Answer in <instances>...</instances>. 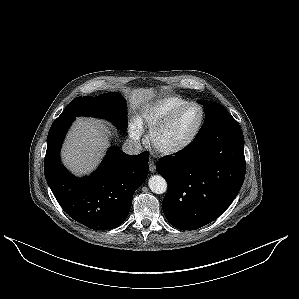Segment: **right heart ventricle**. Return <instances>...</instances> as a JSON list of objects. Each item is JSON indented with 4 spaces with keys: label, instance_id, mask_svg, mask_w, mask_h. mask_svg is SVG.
<instances>
[{
    "label": "right heart ventricle",
    "instance_id": "obj_1",
    "mask_svg": "<svg viewBox=\"0 0 299 299\" xmlns=\"http://www.w3.org/2000/svg\"><path fill=\"white\" fill-rule=\"evenodd\" d=\"M187 102V99L177 94L161 96L143 108L138 123L151 128Z\"/></svg>",
    "mask_w": 299,
    "mask_h": 299
}]
</instances>
